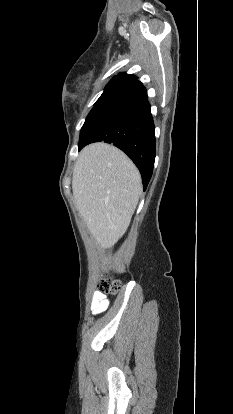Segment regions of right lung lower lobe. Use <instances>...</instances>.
I'll use <instances>...</instances> for the list:
<instances>
[{"label":"right lung lower lobe","mask_w":233,"mask_h":414,"mask_svg":"<svg viewBox=\"0 0 233 414\" xmlns=\"http://www.w3.org/2000/svg\"><path fill=\"white\" fill-rule=\"evenodd\" d=\"M154 129L146 89L137 80L129 89L94 106L81 129L79 150L98 141L114 144L138 167L145 190L154 167Z\"/></svg>","instance_id":"obj_1"}]
</instances>
